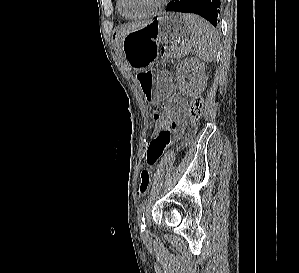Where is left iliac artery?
<instances>
[{
	"instance_id": "left-iliac-artery-1",
	"label": "left iliac artery",
	"mask_w": 299,
	"mask_h": 273,
	"mask_svg": "<svg viewBox=\"0 0 299 273\" xmlns=\"http://www.w3.org/2000/svg\"><path fill=\"white\" fill-rule=\"evenodd\" d=\"M145 205L146 203H144L138 211V222H139V226L142 231H145V222H144V215H145Z\"/></svg>"
}]
</instances>
